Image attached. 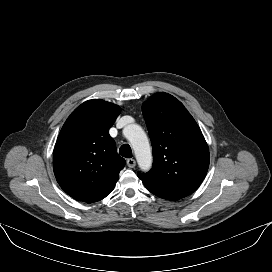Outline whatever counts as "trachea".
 <instances>
[{
	"instance_id": "trachea-1",
	"label": "trachea",
	"mask_w": 272,
	"mask_h": 272,
	"mask_svg": "<svg viewBox=\"0 0 272 272\" xmlns=\"http://www.w3.org/2000/svg\"><path fill=\"white\" fill-rule=\"evenodd\" d=\"M119 154L125 158L132 157V150L128 144H123L119 149Z\"/></svg>"
}]
</instances>
